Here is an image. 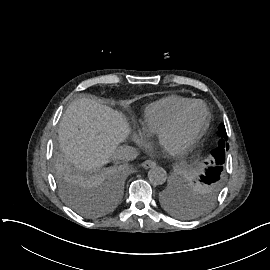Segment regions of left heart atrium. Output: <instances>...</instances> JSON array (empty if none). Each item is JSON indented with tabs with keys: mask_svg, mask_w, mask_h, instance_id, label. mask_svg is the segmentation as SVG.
<instances>
[{
	"mask_svg": "<svg viewBox=\"0 0 270 270\" xmlns=\"http://www.w3.org/2000/svg\"><path fill=\"white\" fill-rule=\"evenodd\" d=\"M170 151H172V148L169 145H153L148 149L147 153L152 157H157Z\"/></svg>",
	"mask_w": 270,
	"mask_h": 270,
	"instance_id": "obj_1",
	"label": "left heart atrium"
}]
</instances>
